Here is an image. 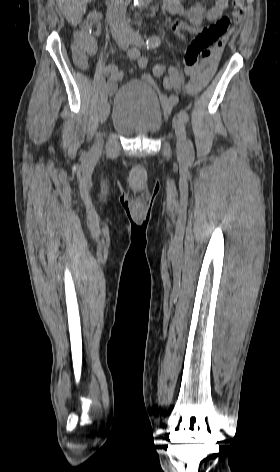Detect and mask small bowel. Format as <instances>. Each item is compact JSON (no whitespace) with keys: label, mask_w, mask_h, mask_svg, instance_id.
Returning a JSON list of instances; mask_svg holds the SVG:
<instances>
[{"label":"small bowel","mask_w":280,"mask_h":472,"mask_svg":"<svg viewBox=\"0 0 280 472\" xmlns=\"http://www.w3.org/2000/svg\"><path fill=\"white\" fill-rule=\"evenodd\" d=\"M227 7L228 0H215L214 6L211 7L206 13V19L208 21L218 20L221 18ZM164 10L181 18H186L188 15L187 10L181 4L180 0H164ZM171 28L174 33L186 40L188 43L192 40V38L189 36L190 34H195L201 31L200 27L190 25L183 20H176L173 22ZM229 36L230 34L225 35L223 38V45L217 47L211 56L203 58L195 66H185V72L189 77L188 84L185 87V92L188 95H195L199 93L212 80L217 71L222 49L228 41ZM72 51L74 59L76 57H81L84 60V65L81 67L85 68L89 57L95 55L97 51L96 40L91 35H88L82 31H77L73 37ZM136 62L138 68L140 70H144L147 67L148 60L145 56H139L136 58ZM141 78L155 86L154 80L150 75L142 73ZM121 79L122 73L117 71L111 76L108 82L107 90L109 92H114L117 88L118 82ZM163 85L168 90L172 89L169 77L164 78ZM159 99L166 114H169L178 103V98L175 95L159 93Z\"/></svg>","instance_id":"obj_1"}]
</instances>
